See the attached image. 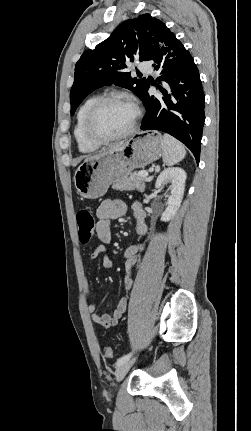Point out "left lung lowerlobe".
<instances>
[{
    "mask_svg": "<svg viewBox=\"0 0 251 431\" xmlns=\"http://www.w3.org/2000/svg\"><path fill=\"white\" fill-rule=\"evenodd\" d=\"M151 61L160 77L154 85L160 94L150 96L147 85L141 97L146 108L142 130H159L183 142L199 163L205 121L202 84L190 53L170 33L154 47Z\"/></svg>",
    "mask_w": 251,
    "mask_h": 431,
    "instance_id": "1",
    "label": "left lung lower lobe"
}]
</instances>
